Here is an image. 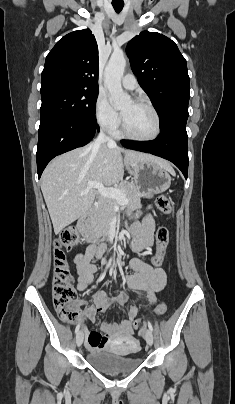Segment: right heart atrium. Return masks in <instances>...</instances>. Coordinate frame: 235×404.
<instances>
[{
  "mask_svg": "<svg viewBox=\"0 0 235 404\" xmlns=\"http://www.w3.org/2000/svg\"><path fill=\"white\" fill-rule=\"evenodd\" d=\"M98 125L108 133H114L120 126L118 112L110 105L106 95L99 93L94 105Z\"/></svg>",
  "mask_w": 235,
  "mask_h": 404,
  "instance_id": "1",
  "label": "right heart atrium"
}]
</instances>
